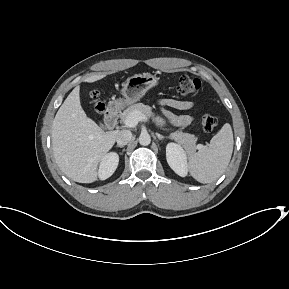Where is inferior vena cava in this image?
Returning <instances> with one entry per match:
<instances>
[{
  "mask_svg": "<svg viewBox=\"0 0 289 289\" xmlns=\"http://www.w3.org/2000/svg\"><path fill=\"white\" fill-rule=\"evenodd\" d=\"M132 139V133L129 130H121L117 133L116 142L120 146L127 145Z\"/></svg>",
  "mask_w": 289,
  "mask_h": 289,
  "instance_id": "inferior-vena-cava-1",
  "label": "inferior vena cava"
}]
</instances>
